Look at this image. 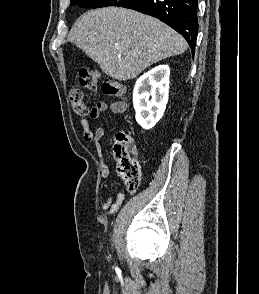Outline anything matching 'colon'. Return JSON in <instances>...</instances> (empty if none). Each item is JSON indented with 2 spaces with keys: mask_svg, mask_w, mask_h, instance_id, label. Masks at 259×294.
Returning a JSON list of instances; mask_svg holds the SVG:
<instances>
[{
  "mask_svg": "<svg viewBox=\"0 0 259 294\" xmlns=\"http://www.w3.org/2000/svg\"><path fill=\"white\" fill-rule=\"evenodd\" d=\"M100 80L99 72L93 69H82L79 72V85L89 91H95ZM101 89L104 94L112 97H123L126 90L118 81L110 78L102 80ZM73 111L80 116L90 115L83 91L80 88H73L69 94ZM114 154L117 161V171L127 188L134 191L138 188L141 179V167L130 147V137L125 133H119L114 147Z\"/></svg>",
  "mask_w": 259,
  "mask_h": 294,
  "instance_id": "obj_1",
  "label": "colon"
}]
</instances>
